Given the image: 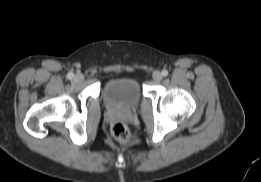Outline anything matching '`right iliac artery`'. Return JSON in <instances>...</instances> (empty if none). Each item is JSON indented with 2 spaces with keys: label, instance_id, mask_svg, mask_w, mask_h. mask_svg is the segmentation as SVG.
<instances>
[{
  "label": "right iliac artery",
  "instance_id": "1",
  "mask_svg": "<svg viewBox=\"0 0 261 182\" xmlns=\"http://www.w3.org/2000/svg\"><path fill=\"white\" fill-rule=\"evenodd\" d=\"M74 77V74L72 73V72H69L68 74H67V78L68 79H72Z\"/></svg>",
  "mask_w": 261,
  "mask_h": 182
}]
</instances>
